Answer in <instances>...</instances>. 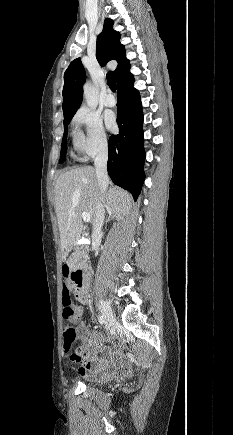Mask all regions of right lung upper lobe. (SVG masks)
Returning a JSON list of instances; mask_svg holds the SVG:
<instances>
[{
  "instance_id": "1",
  "label": "right lung upper lobe",
  "mask_w": 233,
  "mask_h": 435,
  "mask_svg": "<svg viewBox=\"0 0 233 435\" xmlns=\"http://www.w3.org/2000/svg\"><path fill=\"white\" fill-rule=\"evenodd\" d=\"M96 58L101 66H104L110 60L118 62L115 70L117 81L131 74L129 60L125 57L124 45L120 43V34L114 31L113 21L109 18L104 20L103 30L97 37ZM85 79L84 66L81 59L77 58L70 63L64 73L62 91L64 117L74 116L81 105L83 99L82 87Z\"/></svg>"
}]
</instances>
